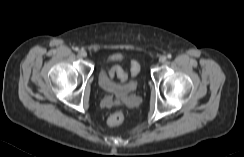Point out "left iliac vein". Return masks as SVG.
I'll return each instance as SVG.
<instances>
[{"label":"left iliac vein","instance_id":"4c4485c4","mask_svg":"<svg viewBox=\"0 0 244 157\" xmlns=\"http://www.w3.org/2000/svg\"><path fill=\"white\" fill-rule=\"evenodd\" d=\"M166 60H167V58H166V56H164V55L160 56V58H159V61H160L161 63H165Z\"/></svg>","mask_w":244,"mask_h":157}]
</instances>
